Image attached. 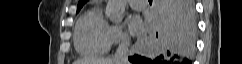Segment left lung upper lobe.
Wrapping results in <instances>:
<instances>
[{
    "label": "left lung upper lobe",
    "mask_w": 242,
    "mask_h": 64,
    "mask_svg": "<svg viewBox=\"0 0 242 64\" xmlns=\"http://www.w3.org/2000/svg\"><path fill=\"white\" fill-rule=\"evenodd\" d=\"M88 0H79L78 6H77V12L82 8V6L87 2Z\"/></svg>",
    "instance_id": "5c2ea615"
}]
</instances>
